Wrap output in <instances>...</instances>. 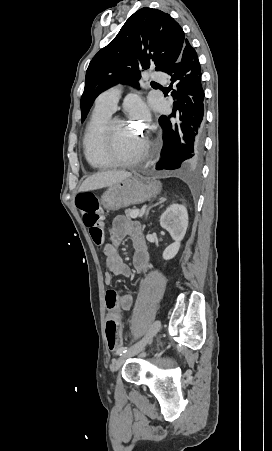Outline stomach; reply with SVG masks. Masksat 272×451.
Masks as SVG:
<instances>
[{
    "label": "stomach",
    "instance_id": "1",
    "mask_svg": "<svg viewBox=\"0 0 272 451\" xmlns=\"http://www.w3.org/2000/svg\"><path fill=\"white\" fill-rule=\"evenodd\" d=\"M160 190V182H144L141 176H130L108 186V190L101 196V204L105 210H119L155 198Z\"/></svg>",
    "mask_w": 272,
    "mask_h": 451
}]
</instances>
